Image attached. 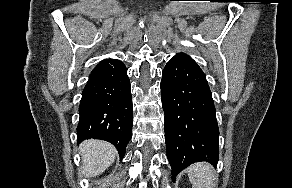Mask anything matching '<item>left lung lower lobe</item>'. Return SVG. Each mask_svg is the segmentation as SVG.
Instances as JSON below:
<instances>
[{"mask_svg": "<svg viewBox=\"0 0 292 188\" xmlns=\"http://www.w3.org/2000/svg\"><path fill=\"white\" fill-rule=\"evenodd\" d=\"M161 96L172 175H178L198 161L215 166L219 158V128L212 95L201 68L188 58L174 56L163 70Z\"/></svg>", "mask_w": 292, "mask_h": 188, "instance_id": "0a47b994", "label": "left lung lower lobe"}]
</instances>
